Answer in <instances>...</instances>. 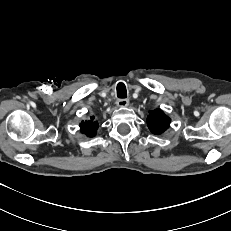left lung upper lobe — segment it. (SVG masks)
I'll return each mask as SVG.
<instances>
[{
	"instance_id": "5c2ea615",
	"label": "left lung upper lobe",
	"mask_w": 231,
	"mask_h": 231,
	"mask_svg": "<svg viewBox=\"0 0 231 231\" xmlns=\"http://www.w3.org/2000/svg\"><path fill=\"white\" fill-rule=\"evenodd\" d=\"M171 119L160 109L150 111L147 124L153 134H162L170 125Z\"/></svg>"
}]
</instances>
